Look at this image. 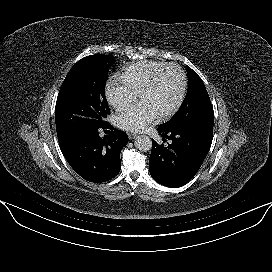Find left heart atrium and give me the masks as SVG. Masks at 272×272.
<instances>
[{
    "label": "left heart atrium",
    "instance_id": "obj_1",
    "mask_svg": "<svg viewBox=\"0 0 272 272\" xmlns=\"http://www.w3.org/2000/svg\"><path fill=\"white\" fill-rule=\"evenodd\" d=\"M160 115L148 104L140 103L123 110L115 117L117 126L126 131L141 132L153 125Z\"/></svg>",
    "mask_w": 272,
    "mask_h": 272
}]
</instances>
